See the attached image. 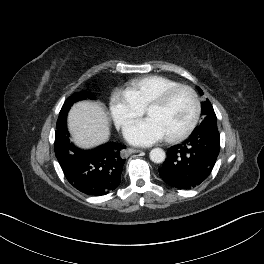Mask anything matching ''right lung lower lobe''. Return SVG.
I'll return each instance as SVG.
<instances>
[{"instance_id": "98d812e1", "label": "right lung lower lobe", "mask_w": 264, "mask_h": 264, "mask_svg": "<svg viewBox=\"0 0 264 264\" xmlns=\"http://www.w3.org/2000/svg\"><path fill=\"white\" fill-rule=\"evenodd\" d=\"M125 148L108 142L84 151L70 142L66 126L55 133V155L67 180L88 195H105L118 187L125 162L122 150Z\"/></svg>"}]
</instances>
